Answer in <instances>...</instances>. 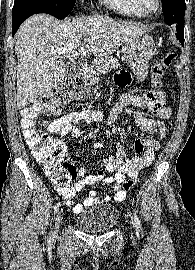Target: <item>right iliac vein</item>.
Segmentation results:
<instances>
[{"label":"right iliac vein","instance_id":"1","mask_svg":"<svg viewBox=\"0 0 195 270\" xmlns=\"http://www.w3.org/2000/svg\"><path fill=\"white\" fill-rule=\"evenodd\" d=\"M61 221H62V213L58 212V214H57V216L55 218L54 235H56L58 233Z\"/></svg>","mask_w":195,"mask_h":270}]
</instances>
